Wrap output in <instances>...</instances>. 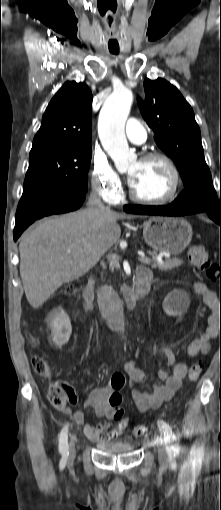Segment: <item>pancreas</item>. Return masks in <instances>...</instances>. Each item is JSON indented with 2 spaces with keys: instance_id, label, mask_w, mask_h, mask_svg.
I'll use <instances>...</instances> for the list:
<instances>
[{
  "instance_id": "cf45deb5",
  "label": "pancreas",
  "mask_w": 221,
  "mask_h": 510,
  "mask_svg": "<svg viewBox=\"0 0 221 510\" xmlns=\"http://www.w3.org/2000/svg\"><path fill=\"white\" fill-rule=\"evenodd\" d=\"M147 253L152 257L153 264L151 265L152 268H158L161 271H170L180 265L183 264V261L178 258L173 259H166L164 262L160 263L157 261V253L155 251H147ZM117 261H111L110 266L113 268L117 266Z\"/></svg>"
}]
</instances>
